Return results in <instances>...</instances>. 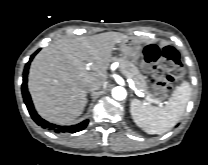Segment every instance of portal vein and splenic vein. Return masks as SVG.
<instances>
[{
  "label": "portal vein and splenic vein",
  "instance_id": "18ae733b",
  "mask_svg": "<svg viewBox=\"0 0 208 165\" xmlns=\"http://www.w3.org/2000/svg\"><path fill=\"white\" fill-rule=\"evenodd\" d=\"M127 81H128V83H129L130 87L135 91V93L137 94V96H139V97H144V98L146 99V101H148L149 104H150V103H156V104H159L160 106L162 105V103H161L159 100H157V99H152V98H150V97H148V96H145V94H144L143 92L137 90V89L135 88V86H134V82H133L132 79L129 78Z\"/></svg>",
  "mask_w": 208,
  "mask_h": 165
}]
</instances>
